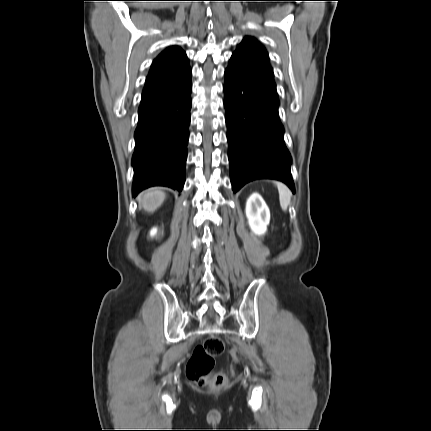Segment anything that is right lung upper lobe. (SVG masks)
Masks as SVG:
<instances>
[{"instance_id":"right-lung-upper-lobe-1","label":"right lung upper lobe","mask_w":431,"mask_h":431,"mask_svg":"<svg viewBox=\"0 0 431 431\" xmlns=\"http://www.w3.org/2000/svg\"><path fill=\"white\" fill-rule=\"evenodd\" d=\"M191 75L188 58L180 48L165 49L153 62L141 101L159 96Z\"/></svg>"}]
</instances>
